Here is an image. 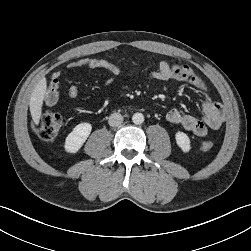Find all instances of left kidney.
<instances>
[{
  "mask_svg": "<svg viewBox=\"0 0 251 251\" xmlns=\"http://www.w3.org/2000/svg\"><path fill=\"white\" fill-rule=\"evenodd\" d=\"M175 139H176V143L177 145L181 148V150L185 153L189 152L191 149V142L189 137L187 136V134H185L184 132H180L178 131L175 134Z\"/></svg>",
  "mask_w": 251,
  "mask_h": 251,
  "instance_id": "obj_1",
  "label": "left kidney"
}]
</instances>
